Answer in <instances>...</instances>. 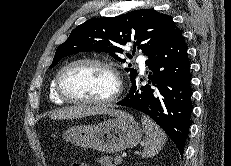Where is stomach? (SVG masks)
Returning <instances> with one entry per match:
<instances>
[{"instance_id":"obj_1","label":"stomach","mask_w":231,"mask_h":166,"mask_svg":"<svg viewBox=\"0 0 231 166\" xmlns=\"http://www.w3.org/2000/svg\"><path fill=\"white\" fill-rule=\"evenodd\" d=\"M141 137L139 123L124 112L96 125H76L65 131L66 141L104 153H116L135 147Z\"/></svg>"}]
</instances>
